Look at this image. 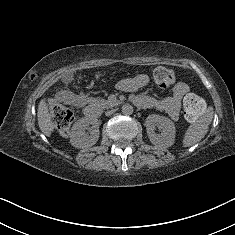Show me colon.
<instances>
[{
    "mask_svg": "<svg viewBox=\"0 0 235 235\" xmlns=\"http://www.w3.org/2000/svg\"><path fill=\"white\" fill-rule=\"evenodd\" d=\"M154 82L161 89L168 88L175 81V74L166 67H158L154 71ZM205 109L204 101L195 94H188L183 103L185 118L193 122L197 120ZM50 111L53 123L62 136H67L73 123V113L60 102L53 100L50 103Z\"/></svg>",
    "mask_w": 235,
    "mask_h": 235,
    "instance_id": "1",
    "label": "colon"
}]
</instances>
